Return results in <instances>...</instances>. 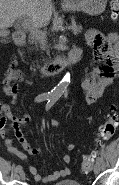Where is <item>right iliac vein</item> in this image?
Here are the masks:
<instances>
[{
  "label": "right iliac vein",
  "mask_w": 119,
  "mask_h": 185,
  "mask_svg": "<svg viewBox=\"0 0 119 185\" xmlns=\"http://www.w3.org/2000/svg\"><path fill=\"white\" fill-rule=\"evenodd\" d=\"M19 176L21 180H25L26 178L25 172L23 170L19 171Z\"/></svg>",
  "instance_id": "1"
}]
</instances>
